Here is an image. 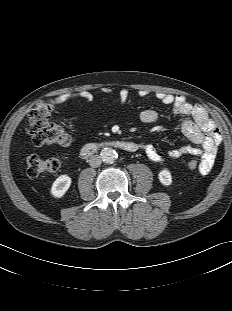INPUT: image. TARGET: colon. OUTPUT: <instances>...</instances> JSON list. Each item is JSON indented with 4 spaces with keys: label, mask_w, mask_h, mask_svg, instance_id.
I'll return each instance as SVG.
<instances>
[{
    "label": "colon",
    "mask_w": 232,
    "mask_h": 311,
    "mask_svg": "<svg viewBox=\"0 0 232 311\" xmlns=\"http://www.w3.org/2000/svg\"><path fill=\"white\" fill-rule=\"evenodd\" d=\"M52 110V104L39 102L29 113L27 132L35 146L67 145L70 143V136L64 128L49 120ZM25 161L27 174L32 178L44 173L57 171L61 166V159L58 157L44 158L32 153L25 155ZM187 165L190 169H196L198 161L190 159Z\"/></svg>",
    "instance_id": "colon-1"
}]
</instances>
